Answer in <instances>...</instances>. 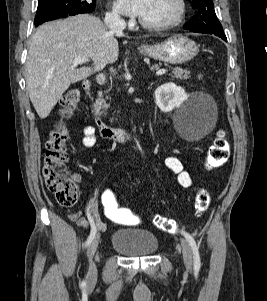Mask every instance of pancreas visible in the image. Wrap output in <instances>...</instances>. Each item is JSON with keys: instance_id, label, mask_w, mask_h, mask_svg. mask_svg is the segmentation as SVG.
Wrapping results in <instances>:
<instances>
[{"instance_id": "1", "label": "pancreas", "mask_w": 267, "mask_h": 301, "mask_svg": "<svg viewBox=\"0 0 267 301\" xmlns=\"http://www.w3.org/2000/svg\"><path fill=\"white\" fill-rule=\"evenodd\" d=\"M154 67H157V65H155ZM189 74H190V71L183 70L182 68H175L172 71V77L176 78V79H185L186 80L190 77ZM108 92H109V90H106L104 93L99 92L98 98L96 99L95 105H97L98 107H100L103 110L107 109L109 107V105L103 99L104 94H107ZM106 98H108V96H106Z\"/></svg>"}]
</instances>
